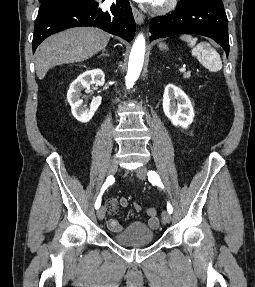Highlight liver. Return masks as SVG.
<instances>
[{"mask_svg": "<svg viewBox=\"0 0 255 287\" xmlns=\"http://www.w3.org/2000/svg\"><path fill=\"white\" fill-rule=\"evenodd\" d=\"M109 40L110 34L98 28H70L50 36L36 50L35 70L39 80L54 66L89 60L105 50Z\"/></svg>", "mask_w": 255, "mask_h": 287, "instance_id": "obj_1", "label": "liver"}]
</instances>
